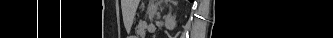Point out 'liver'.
Here are the masks:
<instances>
[{"label": "liver", "mask_w": 333, "mask_h": 38, "mask_svg": "<svg viewBox=\"0 0 333 38\" xmlns=\"http://www.w3.org/2000/svg\"><path fill=\"white\" fill-rule=\"evenodd\" d=\"M135 3V9L137 8L138 4H139V0H135L133 1Z\"/></svg>", "instance_id": "6515ba94"}]
</instances>
